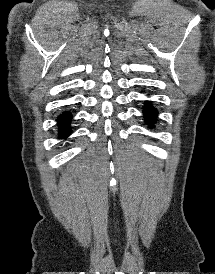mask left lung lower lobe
Returning a JSON list of instances; mask_svg holds the SVG:
<instances>
[{"label": "left lung lower lobe", "instance_id": "obj_1", "mask_svg": "<svg viewBox=\"0 0 215 274\" xmlns=\"http://www.w3.org/2000/svg\"><path fill=\"white\" fill-rule=\"evenodd\" d=\"M144 118L145 121L151 125V123L155 120L156 116H157V111L155 110V108H153L149 103L145 104L144 106Z\"/></svg>", "mask_w": 215, "mask_h": 274}]
</instances>
